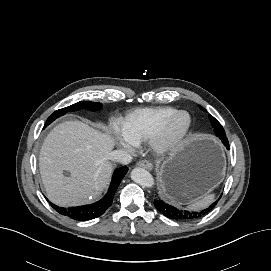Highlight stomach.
Segmentation results:
<instances>
[{"label":"stomach","instance_id":"1","mask_svg":"<svg viewBox=\"0 0 271 271\" xmlns=\"http://www.w3.org/2000/svg\"><path fill=\"white\" fill-rule=\"evenodd\" d=\"M225 158L220 145L207 136L189 137L157 168L162 194L171 201L197 200L222 180Z\"/></svg>","mask_w":271,"mask_h":271}]
</instances>
